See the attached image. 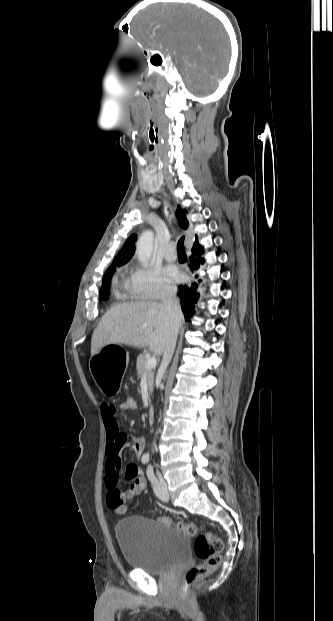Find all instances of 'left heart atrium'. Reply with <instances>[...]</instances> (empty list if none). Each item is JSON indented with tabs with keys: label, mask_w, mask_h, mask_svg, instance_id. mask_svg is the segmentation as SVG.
<instances>
[{
	"label": "left heart atrium",
	"mask_w": 333,
	"mask_h": 621,
	"mask_svg": "<svg viewBox=\"0 0 333 621\" xmlns=\"http://www.w3.org/2000/svg\"><path fill=\"white\" fill-rule=\"evenodd\" d=\"M165 273L167 277L173 281H178L181 277L179 271L174 266L167 267Z\"/></svg>",
	"instance_id": "obj_1"
}]
</instances>
